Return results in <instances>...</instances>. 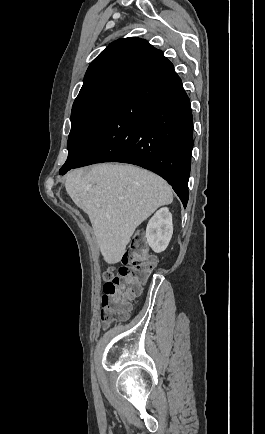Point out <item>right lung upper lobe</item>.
Listing matches in <instances>:
<instances>
[{
    "label": "right lung upper lobe",
    "mask_w": 265,
    "mask_h": 434,
    "mask_svg": "<svg viewBox=\"0 0 265 434\" xmlns=\"http://www.w3.org/2000/svg\"><path fill=\"white\" fill-rule=\"evenodd\" d=\"M162 54V51L144 39L129 37L117 40L107 46L90 64L83 85L116 74L135 75L154 63Z\"/></svg>",
    "instance_id": "1"
}]
</instances>
